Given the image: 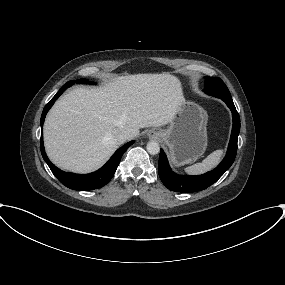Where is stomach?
Returning a JSON list of instances; mask_svg holds the SVG:
<instances>
[{"mask_svg":"<svg viewBox=\"0 0 285 285\" xmlns=\"http://www.w3.org/2000/svg\"><path fill=\"white\" fill-rule=\"evenodd\" d=\"M207 112L192 101L181 100L166 129H153L169 147L174 165L189 164L207 147Z\"/></svg>","mask_w":285,"mask_h":285,"instance_id":"1","label":"stomach"}]
</instances>
